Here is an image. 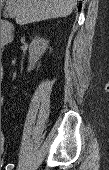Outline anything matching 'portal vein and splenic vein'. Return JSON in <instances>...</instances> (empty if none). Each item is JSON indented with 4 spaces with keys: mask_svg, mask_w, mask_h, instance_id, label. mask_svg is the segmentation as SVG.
Instances as JSON below:
<instances>
[{
    "mask_svg": "<svg viewBox=\"0 0 109 170\" xmlns=\"http://www.w3.org/2000/svg\"><path fill=\"white\" fill-rule=\"evenodd\" d=\"M6 12L10 18H13L15 16V12L11 6L6 7Z\"/></svg>",
    "mask_w": 109,
    "mask_h": 170,
    "instance_id": "portal-vein-and-splenic-vein-1",
    "label": "portal vein and splenic vein"
}]
</instances>
